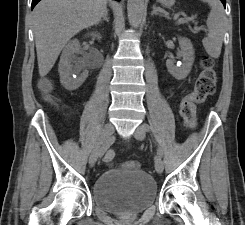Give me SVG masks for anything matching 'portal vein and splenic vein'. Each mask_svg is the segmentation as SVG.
Instances as JSON below:
<instances>
[{
	"label": "portal vein and splenic vein",
	"instance_id": "1",
	"mask_svg": "<svg viewBox=\"0 0 245 225\" xmlns=\"http://www.w3.org/2000/svg\"><path fill=\"white\" fill-rule=\"evenodd\" d=\"M178 18V15H175L174 19H177ZM194 18H179L178 19V23H184L186 22L187 20H193ZM199 30H203V28H198Z\"/></svg>",
	"mask_w": 245,
	"mask_h": 225
}]
</instances>
